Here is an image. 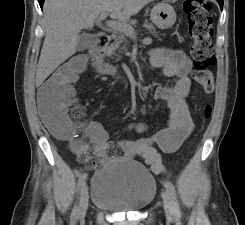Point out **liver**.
<instances>
[{
  "mask_svg": "<svg viewBox=\"0 0 245 225\" xmlns=\"http://www.w3.org/2000/svg\"><path fill=\"white\" fill-rule=\"evenodd\" d=\"M153 0H46L43 6L45 39L36 70V84L75 54L79 33L91 29L102 13L127 21Z\"/></svg>",
  "mask_w": 245,
  "mask_h": 225,
  "instance_id": "obj_1",
  "label": "liver"
}]
</instances>
